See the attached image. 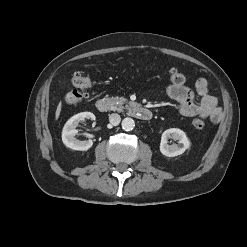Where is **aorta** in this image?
I'll return each mask as SVG.
<instances>
[{
  "mask_svg": "<svg viewBox=\"0 0 247 247\" xmlns=\"http://www.w3.org/2000/svg\"><path fill=\"white\" fill-rule=\"evenodd\" d=\"M134 126H135V123H134V120L132 118L126 117V118L123 119L122 128L125 131L132 130L134 128Z\"/></svg>",
  "mask_w": 247,
  "mask_h": 247,
  "instance_id": "aorta-1",
  "label": "aorta"
}]
</instances>
